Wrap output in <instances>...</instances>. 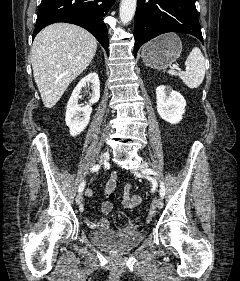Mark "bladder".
<instances>
[{
  "label": "bladder",
  "mask_w": 240,
  "mask_h": 281,
  "mask_svg": "<svg viewBox=\"0 0 240 281\" xmlns=\"http://www.w3.org/2000/svg\"><path fill=\"white\" fill-rule=\"evenodd\" d=\"M92 243L102 249L124 252L138 246L143 239L141 232H121L114 230H97L89 234Z\"/></svg>",
  "instance_id": "obj_1"
}]
</instances>
